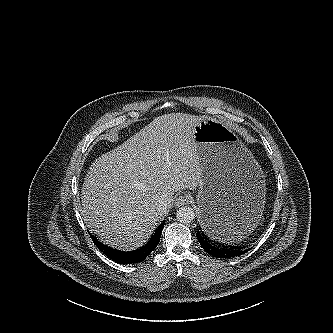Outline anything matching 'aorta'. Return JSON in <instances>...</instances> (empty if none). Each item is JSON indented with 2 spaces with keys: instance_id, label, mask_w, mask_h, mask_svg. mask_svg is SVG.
<instances>
[{
  "instance_id": "1",
  "label": "aorta",
  "mask_w": 333,
  "mask_h": 333,
  "mask_svg": "<svg viewBox=\"0 0 333 333\" xmlns=\"http://www.w3.org/2000/svg\"><path fill=\"white\" fill-rule=\"evenodd\" d=\"M176 218L180 223L190 224L195 218L193 208L190 206L180 207L176 212Z\"/></svg>"
}]
</instances>
